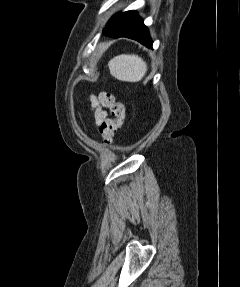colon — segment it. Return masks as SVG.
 I'll use <instances>...</instances> for the list:
<instances>
[{
    "instance_id": "colon-1",
    "label": "colon",
    "mask_w": 240,
    "mask_h": 287,
    "mask_svg": "<svg viewBox=\"0 0 240 287\" xmlns=\"http://www.w3.org/2000/svg\"><path fill=\"white\" fill-rule=\"evenodd\" d=\"M101 106L109 109L111 118H108L100 127V133L106 144L110 145L115 133L122 126L125 119V106L116 100L115 96L109 91H101L98 96Z\"/></svg>"
}]
</instances>
